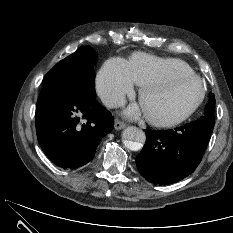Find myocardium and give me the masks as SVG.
Here are the masks:
<instances>
[{
	"label": "myocardium",
	"mask_w": 233,
	"mask_h": 233,
	"mask_svg": "<svg viewBox=\"0 0 233 233\" xmlns=\"http://www.w3.org/2000/svg\"><path fill=\"white\" fill-rule=\"evenodd\" d=\"M186 79H193L196 80L201 87V94L198 98V100L195 102V104L183 115L173 118V119H162V118H156L153 117L147 113H145V117L149 123L156 127H161V128H171V127H176L187 120H189L200 108V106L203 104L205 97H206V87L205 84L203 83L202 79L195 73H189V74H178V75H172V76H163L158 79L146 82L142 86H140L139 93H138V98L141 103L142 98L144 94L149 91V90H155L159 89L161 87L186 80Z\"/></svg>",
	"instance_id": "f54148a6"
}]
</instances>
